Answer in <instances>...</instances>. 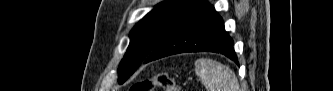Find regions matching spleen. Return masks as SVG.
<instances>
[{
	"instance_id": "obj_1",
	"label": "spleen",
	"mask_w": 333,
	"mask_h": 91,
	"mask_svg": "<svg viewBox=\"0 0 333 91\" xmlns=\"http://www.w3.org/2000/svg\"><path fill=\"white\" fill-rule=\"evenodd\" d=\"M195 73L207 91H240L235 73L221 62L200 58L195 62Z\"/></svg>"
}]
</instances>
